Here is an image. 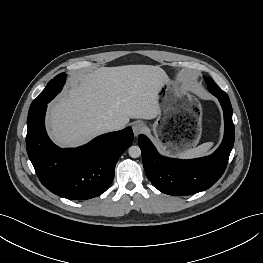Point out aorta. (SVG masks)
I'll return each instance as SVG.
<instances>
[{
  "label": "aorta",
  "mask_w": 263,
  "mask_h": 263,
  "mask_svg": "<svg viewBox=\"0 0 263 263\" xmlns=\"http://www.w3.org/2000/svg\"><path fill=\"white\" fill-rule=\"evenodd\" d=\"M129 156L132 158H138L141 156V149L139 146L133 145L128 149Z\"/></svg>",
  "instance_id": "aorta-1"
}]
</instances>
